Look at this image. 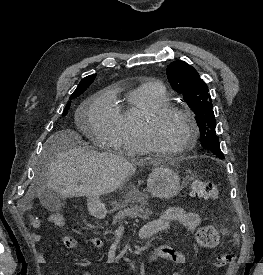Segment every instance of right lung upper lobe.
Listing matches in <instances>:
<instances>
[{
    "mask_svg": "<svg viewBox=\"0 0 263 275\" xmlns=\"http://www.w3.org/2000/svg\"><path fill=\"white\" fill-rule=\"evenodd\" d=\"M95 77H96V74H93V75L87 76L84 79H82L81 82L79 83L77 89L74 91V93L71 96L77 94L84 88L87 89L91 85V83L94 81Z\"/></svg>",
    "mask_w": 263,
    "mask_h": 275,
    "instance_id": "obj_1",
    "label": "right lung upper lobe"
}]
</instances>
